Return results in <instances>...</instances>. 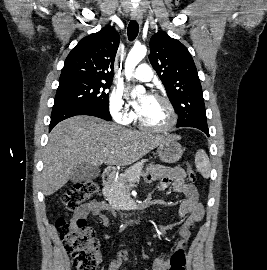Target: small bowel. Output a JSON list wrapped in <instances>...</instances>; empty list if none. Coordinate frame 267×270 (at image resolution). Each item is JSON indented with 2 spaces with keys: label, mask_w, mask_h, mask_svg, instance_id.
<instances>
[{
  "label": "small bowel",
  "mask_w": 267,
  "mask_h": 270,
  "mask_svg": "<svg viewBox=\"0 0 267 270\" xmlns=\"http://www.w3.org/2000/svg\"><path fill=\"white\" fill-rule=\"evenodd\" d=\"M147 183L159 180V189L165 190L170 185L173 186L175 192L184 196V200L179 208V216L187 217L179 228L180 241L176 250L187 244L192 233L194 223L201 221L204 216V209L199 202L198 191L194 184H190L185 179V172L180 167L166 168L162 166L152 165L148 168L145 175ZM108 209V205L103 201L91 200L82 205L74 214L72 221L80 219L85 220L89 214H93L101 219L104 227L110 226V220L104 214ZM119 256L124 257V253L120 252ZM170 259L157 257L153 260L152 270H168ZM119 261L113 259L111 261L110 270H117Z\"/></svg>",
  "instance_id": "1"
}]
</instances>
